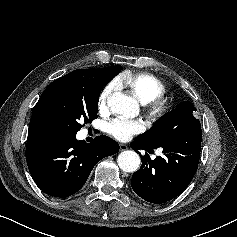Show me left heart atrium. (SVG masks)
<instances>
[{
  "instance_id": "39dd6f15",
  "label": "left heart atrium",
  "mask_w": 237,
  "mask_h": 237,
  "mask_svg": "<svg viewBox=\"0 0 237 237\" xmlns=\"http://www.w3.org/2000/svg\"><path fill=\"white\" fill-rule=\"evenodd\" d=\"M143 130L142 122L123 118L113 119L107 125L108 133L119 141H128L133 135L139 134Z\"/></svg>"
}]
</instances>
